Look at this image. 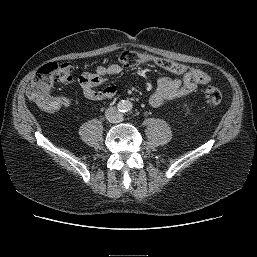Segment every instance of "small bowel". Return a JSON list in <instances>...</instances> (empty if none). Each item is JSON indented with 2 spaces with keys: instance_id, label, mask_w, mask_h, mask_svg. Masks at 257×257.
<instances>
[{
  "instance_id": "obj_1",
  "label": "small bowel",
  "mask_w": 257,
  "mask_h": 257,
  "mask_svg": "<svg viewBox=\"0 0 257 257\" xmlns=\"http://www.w3.org/2000/svg\"><path fill=\"white\" fill-rule=\"evenodd\" d=\"M120 71L119 65L111 64L98 66L93 72L83 73L79 81L85 96L90 100L112 99L116 95V88L108 86L101 89L100 87L106 74L114 76ZM200 84L190 75H183L180 78L164 76L158 80L155 91L149 97V104L155 108L160 107L167 102L195 92Z\"/></svg>"
}]
</instances>
